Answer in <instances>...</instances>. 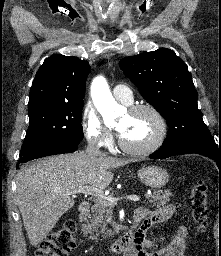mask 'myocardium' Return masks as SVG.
Masks as SVG:
<instances>
[{"instance_id":"1","label":"myocardium","mask_w":221,"mask_h":256,"mask_svg":"<svg viewBox=\"0 0 221 256\" xmlns=\"http://www.w3.org/2000/svg\"><path fill=\"white\" fill-rule=\"evenodd\" d=\"M149 112L156 120L158 131L152 142L142 147H133L124 142L122 137L119 139V145L121 149L132 155H148L158 150L164 143L168 134V125L164 115L158 108L149 103L135 104L129 107L128 112L130 114H136L138 112Z\"/></svg>"}]
</instances>
